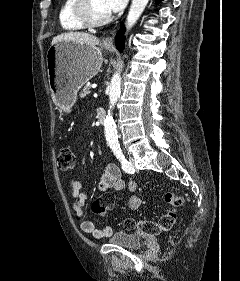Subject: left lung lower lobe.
<instances>
[{
    "label": "left lung lower lobe",
    "instance_id": "1",
    "mask_svg": "<svg viewBox=\"0 0 240 281\" xmlns=\"http://www.w3.org/2000/svg\"><path fill=\"white\" fill-rule=\"evenodd\" d=\"M157 2H160L161 0H156ZM124 31H125V27L124 25H121L119 31L117 32L116 38H115V45L117 47V49H119L120 51H122L123 47H124Z\"/></svg>",
    "mask_w": 240,
    "mask_h": 281
}]
</instances>
